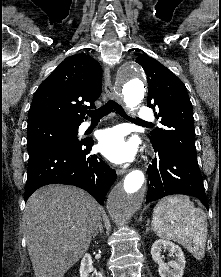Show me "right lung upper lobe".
Returning a JSON list of instances; mask_svg holds the SVG:
<instances>
[{"label": "right lung upper lobe", "mask_w": 221, "mask_h": 277, "mask_svg": "<svg viewBox=\"0 0 221 277\" xmlns=\"http://www.w3.org/2000/svg\"><path fill=\"white\" fill-rule=\"evenodd\" d=\"M100 64L85 54L66 58L38 87L28 114V125L62 122L80 125L86 108L102 92ZM86 104H90L87 106Z\"/></svg>", "instance_id": "1"}]
</instances>
